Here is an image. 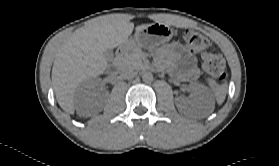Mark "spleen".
Wrapping results in <instances>:
<instances>
[{"label": "spleen", "mask_w": 279, "mask_h": 166, "mask_svg": "<svg viewBox=\"0 0 279 166\" xmlns=\"http://www.w3.org/2000/svg\"><path fill=\"white\" fill-rule=\"evenodd\" d=\"M227 88H228L227 83H224L222 85H217V84L212 85L214 96L218 104H222L224 102L227 94Z\"/></svg>", "instance_id": "obj_1"}]
</instances>
